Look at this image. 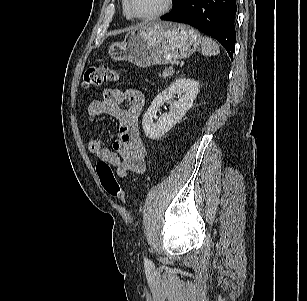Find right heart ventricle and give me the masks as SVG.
<instances>
[{
	"label": "right heart ventricle",
	"instance_id": "right-heart-ventricle-1",
	"mask_svg": "<svg viewBox=\"0 0 307 301\" xmlns=\"http://www.w3.org/2000/svg\"><path fill=\"white\" fill-rule=\"evenodd\" d=\"M122 8H123V13H124L125 17H126L127 19H132L133 17L131 16V14H130L129 11H128V8H127L126 1H125V0H123V2H122Z\"/></svg>",
	"mask_w": 307,
	"mask_h": 301
}]
</instances>
